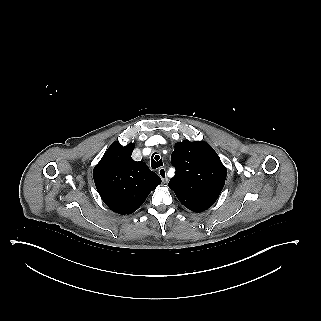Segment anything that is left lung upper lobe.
Returning <instances> with one entry per match:
<instances>
[{"instance_id": "5c2ea615", "label": "left lung upper lobe", "mask_w": 321, "mask_h": 321, "mask_svg": "<svg viewBox=\"0 0 321 321\" xmlns=\"http://www.w3.org/2000/svg\"><path fill=\"white\" fill-rule=\"evenodd\" d=\"M176 168L169 187L176 196L220 194L227 170L214 149L204 141L184 140L171 155Z\"/></svg>"}]
</instances>
